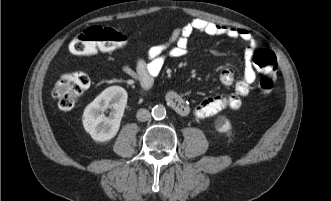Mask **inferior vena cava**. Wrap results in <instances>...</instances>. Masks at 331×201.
Returning <instances> with one entry per match:
<instances>
[{"label":"inferior vena cava","instance_id":"inferior-vena-cava-1","mask_svg":"<svg viewBox=\"0 0 331 201\" xmlns=\"http://www.w3.org/2000/svg\"><path fill=\"white\" fill-rule=\"evenodd\" d=\"M136 117L139 121L145 122L151 118V113L149 110L142 108L137 111Z\"/></svg>","mask_w":331,"mask_h":201}]
</instances>
